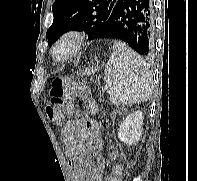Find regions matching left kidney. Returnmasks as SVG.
I'll return each instance as SVG.
<instances>
[{
  "label": "left kidney",
  "instance_id": "1",
  "mask_svg": "<svg viewBox=\"0 0 197 181\" xmlns=\"http://www.w3.org/2000/svg\"><path fill=\"white\" fill-rule=\"evenodd\" d=\"M143 120V113L139 110L128 115L119 125L118 138L129 146L136 144L142 136Z\"/></svg>",
  "mask_w": 197,
  "mask_h": 181
}]
</instances>
